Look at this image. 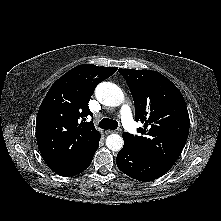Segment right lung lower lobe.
<instances>
[{
    "mask_svg": "<svg viewBox=\"0 0 221 221\" xmlns=\"http://www.w3.org/2000/svg\"><path fill=\"white\" fill-rule=\"evenodd\" d=\"M98 146H99V140L77 162H75L74 164L63 170L56 172V174L67 177L81 173L82 171L87 169L91 164L93 156L96 150L98 149Z\"/></svg>",
    "mask_w": 221,
    "mask_h": 221,
    "instance_id": "obj_1",
    "label": "right lung lower lobe"
}]
</instances>
